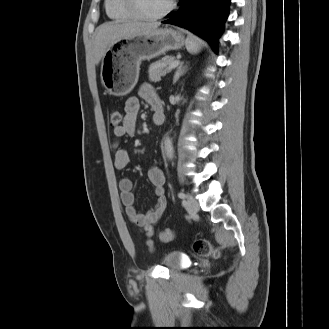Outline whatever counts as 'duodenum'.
<instances>
[{
  "instance_id": "410a0bca",
  "label": "duodenum",
  "mask_w": 329,
  "mask_h": 329,
  "mask_svg": "<svg viewBox=\"0 0 329 329\" xmlns=\"http://www.w3.org/2000/svg\"><path fill=\"white\" fill-rule=\"evenodd\" d=\"M165 120V114L164 111L160 108L156 109L153 121L156 125H161Z\"/></svg>"
}]
</instances>
